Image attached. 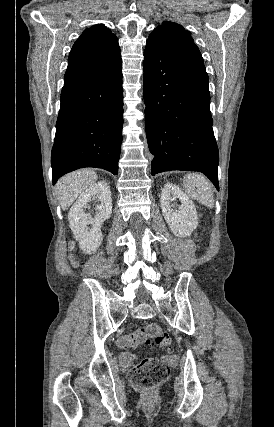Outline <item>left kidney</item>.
<instances>
[{"label": "left kidney", "instance_id": "1", "mask_svg": "<svg viewBox=\"0 0 274 427\" xmlns=\"http://www.w3.org/2000/svg\"><path fill=\"white\" fill-rule=\"evenodd\" d=\"M177 200L181 202V206L175 204ZM160 204L162 214L174 235L187 237L193 229H196L198 225L196 208L190 198L178 186L167 182L162 190Z\"/></svg>", "mask_w": 274, "mask_h": 427}]
</instances>
